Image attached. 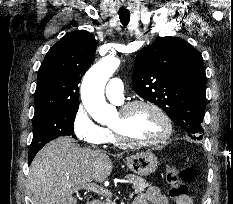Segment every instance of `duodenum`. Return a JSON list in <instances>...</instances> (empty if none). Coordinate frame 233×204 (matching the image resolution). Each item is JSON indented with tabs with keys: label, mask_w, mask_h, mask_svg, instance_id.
<instances>
[{
	"label": "duodenum",
	"mask_w": 233,
	"mask_h": 204,
	"mask_svg": "<svg viewBox=\"0 0 233 204\" xmlns=\"http://www.w3.org/2000/svg\"><path fill=\"white\" fill-rule=\"evenodd\" d=\"M88 204H99V202L97 200H93V201L89 202Z\"/></svg>",
	"instance_id": "1"
}]
</instances>
